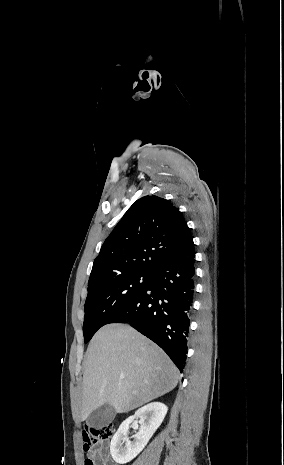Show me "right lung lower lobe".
Instances as JSON below:
<instances>
[{
    "mask_svg": "<svg viewBox=\"0 0 284 465\" xmlns=\"http://www.w3.org/2000/svg\"><path fill=\"white\" fill-rule=\"evenodd\" d=\"M193 241L180 254L160 266L145 288L109 323H129L159 345L183 371L195 288ZM108 323V324H109Z\"/></svg>",
    "mask_w": 284,
    "mask_h": 465,
    "instance_id": "98d812e1",
    "label": "right lung lower lobe"
}]
</instances>
